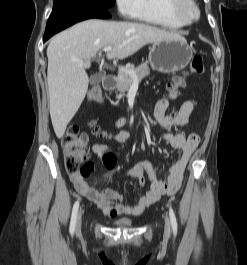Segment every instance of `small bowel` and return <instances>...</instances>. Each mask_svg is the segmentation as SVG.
I'll return each instance as SVG.
<instances>
[{"label": "small bowel", "mask_w": 247, "mask_h": 265, "mask_svg": "<svg viewBox=\"0 0 247 265\" xmlns=\"http://www.w3.org/2000/svg\"><path fill=\"white\" fill-rule=\"evenodd\" d=\"M176 96L177 94L171 93L168 99L159 100L154 110V118L163 129L162 141L179 153V158L171 167L166 182L156 178L153 167L148 161H139L126 172V175L135 179L141 187L146 186L147 177L148 188L136 204L126 205L123 204V196L119 192L105 186H92L85 180V176L70 175L77 192L93 202L102 210L105 216L114 218L121 215H140L162 197L171 196L179 190L185 169L199 144L200 137L197 133L189 135L183 133L173 134L172 130L183 127L188 123L199 102L195 99L186 100L174 116H166L169 100L176 98ZM130 136V132L123 131L114 134L112 138L114 141L122 143L127 141ZM91 155L98 157L108 169H113L117 164L116 155L109 150L106 144H95L91 149Z\"/></svg>", "instance_id": "1"}]
</instances>
